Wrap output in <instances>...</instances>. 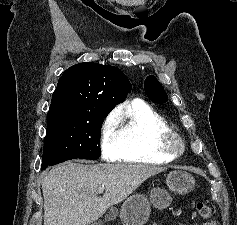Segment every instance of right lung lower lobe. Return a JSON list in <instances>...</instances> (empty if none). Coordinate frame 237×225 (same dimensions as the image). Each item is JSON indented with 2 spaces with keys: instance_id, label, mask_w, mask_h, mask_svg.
Masks as SVG:
<instances>
[{
  "instance_id": "obj_1",
  "label": "right lung lower lobe",
  "mask_w": 237,
  "mask_h": 225,
  "mask_svg": "<svg viewBox=\"0 0 237 225\" xmlns=\"http://www.w3.org/2000/svg\"><path fill=\"white\" fill-rule=\"evenodd\" d=\"M74 156L58 155V156H43L41 170L46 169L48 166H52L70 159H76Z\"/></svg>"
}]
</instances>
